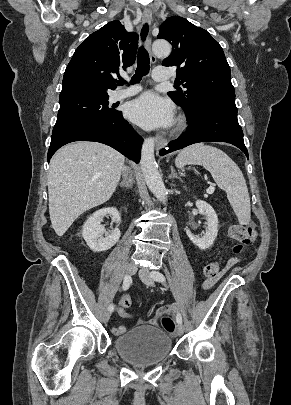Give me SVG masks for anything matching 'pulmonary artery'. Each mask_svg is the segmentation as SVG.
<instances>
[{"label":"pulmonary artery","mask_w":291,"mask_h":405,"mask_svg":"<svg viewBox=\"0 0 291 405\" xmlns=\"http://www.w3.org/2000/svg\"><path fill=\"white\" fill-rule=\"evenodd\" d=\"M171 78L170 72L166 68H156L153 72V79L157 82L167 81ZM141 90L139 85H132L128 88L117 90L113 93L112 99L118 101L137 94Z\"/></svg>","instance_id":"obj_1"}]
</instances>
